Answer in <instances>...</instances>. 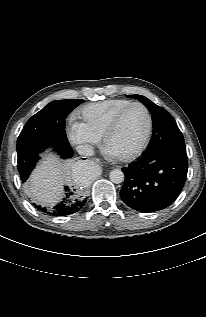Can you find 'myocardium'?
<instances>
[{
    "label": "myocardium",
    "mask_w": 206,
    "mask_h": 317,
    "mask_svg": "<svg viewBox=\"0 0 206 317\" xmlns=\"http://www.w3.org/2000/svg\"><path fill=\"white\" fill-rule=\"evenodd\" d=\"M141 107L145 114H146V118H147V128H146V132L143 138L142 143L140 144L139 147H137L135 150L126 153V154H113L117 159L119 160H123V161H127V160H132L136 157H138L139 155H141L144 150L147 148L149 142H150V138H151V134H152V128H153V121H152V116L150 113L149 108L141 103V102H132L131 104L127 105L126 107H124L122 110H120L111 120V122L109 123V125L107 126L106 130L104 131L103 135H102V144L104 149L107 151L108 150V140L110 138V136L115 132V130L118 128V126L120 125L122 119L124 118V116L127 114V112L132 109L133 107Z\"/></svg>",
    "instance_id": "obj_1"
}]
</instances>
